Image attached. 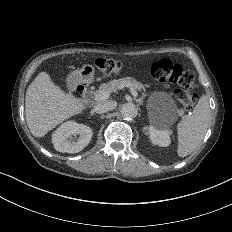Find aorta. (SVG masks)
I'll use <instances>...</instances> for the list:
<instances>
[{
    "instance_id": "1",
    "label": "aorta",
    "mask_w": 232,
    "mask_h": 232,
    "mask_svg": "<svg viewBox=\"0 0 232 232\" xmlns=\"http://www.w3.org/2000/svg\"><path fill=\"white\" fill-rule=\"evenodd\" d=\"M121 113L125 118L132 119L136 117L138 109L133 103L129 102L122 105Z\"/></svg>"
}]
</instances>
